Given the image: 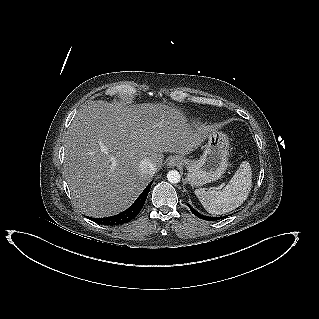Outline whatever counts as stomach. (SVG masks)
I'll return each mask as SVG.
<instances>
[{"label": "stomach", "mask_w": 319, "mask_h": 319, "mask_svg": "<svg viewBox=\"0 0 319 319\" xmlns=\"http://www.w3.org/2000/svg\"><path fill=\"white\" fill-rule=\"evenodd\" d=\"M206 145L199 160H185L188 170L187 181L191 186L220 179L228 167L229 139L218 130H210L206 135Z\"/></svg>", "instance_id": "0dacf381"}]
</instances>
